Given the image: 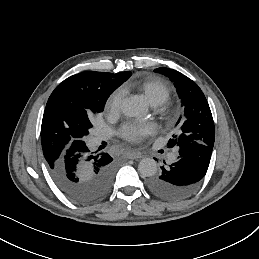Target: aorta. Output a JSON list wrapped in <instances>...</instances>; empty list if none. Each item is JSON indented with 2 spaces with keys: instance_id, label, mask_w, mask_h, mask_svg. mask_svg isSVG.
<instances>
[{
  "instance_id": "obj_1",
  "label": "aorta",
  "mask_w": 259,
  "mask_h": 259,
  "mask_svg": "<svg viewBox=\"0 0 259 259\" xmlns=\"http://www.w3.org/2000/svg\"><path fill=\"white\" fill-rule=\"evenodd\" d=\"M121 111L128 117H141L146 114L147 108L141 99L132 97L123 101ZM138 170L142 177H151L157 172V162L152 158H144L139 162Z\"/></svg>"
}]
</instances>
